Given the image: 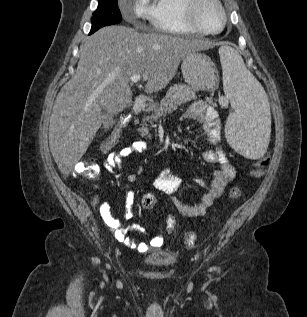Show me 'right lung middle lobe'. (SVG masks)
Here are the masks:
<instances>
[{
  "label": "right lung middle lobe",
  "instance_id": "1",
  "mask_svg": "<svg viewBox=\"0 0 307 317\" xmlns=\"http://www.w3.org/2000/svg\"><path fill=\"white\" fill-rule=\"evenodd\" d=\"M122 16L117 0H98V7L92 14L90 34L104 26L120 23Z\"/></svg>",
  "mask_w": 307,
  "mask_h": 317
}]
</instances>
